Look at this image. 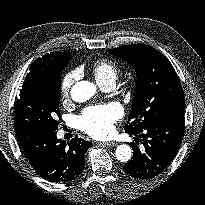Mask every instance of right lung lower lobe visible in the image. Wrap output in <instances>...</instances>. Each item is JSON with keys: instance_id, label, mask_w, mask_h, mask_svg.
Returning <instances> with one entry per match:
<instances>
[{"instance_id": "right-lung-lower-lobe-1", "label": "right lung lower lobe", "mask_w": 205, "mask_h": 205, "mask_svg": "<svg viewBox=\"0 0 205 205\" xmlns=\"http://www.w3.org/2000/svg\"><path fill=\"white\" fill-rule=\"evenodd\" d=\"M56 132L28 130L16 135L26 158L38 175L51 182L65 183L83 172L84 154L92 144L78 137L66 143L57 139Z\"/></svg>"}]
</instances>
